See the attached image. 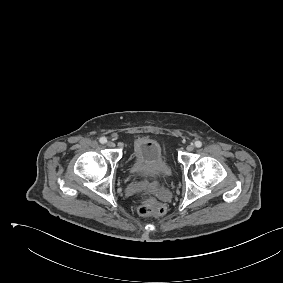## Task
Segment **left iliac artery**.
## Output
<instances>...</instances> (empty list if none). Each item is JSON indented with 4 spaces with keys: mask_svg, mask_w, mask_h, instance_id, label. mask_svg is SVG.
Instances as JSON below:
<instances>
[{
    "mask_svg": "<svg viewBox=\"0 0 283 283\" xmlns=\"http://www.w3.org/2000/svg\"><path fill=\"white\" fill-rule=\"evenodd\" d=\"M195 146H196L197 148H200V147L202 146L201 141H196V142H195Z\"/></svg>",
    "mask_w": 283,
    "mask_h": 283,
    "instance_id": "left-iliac-artery-1",
    "label": "left iliac artery"
}]
</instances>
